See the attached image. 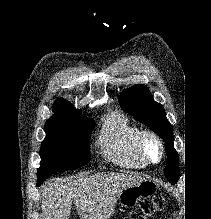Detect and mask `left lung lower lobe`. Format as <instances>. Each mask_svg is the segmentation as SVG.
Masks as SVG:
<instances>
[{
  "label": "left lung lower lobe",
  "instance_id": "left-lung-lower-lobe-1",
  "mask_svg": "<svg viewBox=\"0 0 211 219\" xmlns=\"http://www.w3.org/2000/svg\"><path fill=\"white\" fill-rule=\"evenodd\" d=\"M167 157H168V160L170 161V162H174V161H178V154L177 153H175V152H171V153H169L168 155H167Z\"/></svg>",
  "mask_w": 211,
  "mask_h": 219
}]
</instances>
